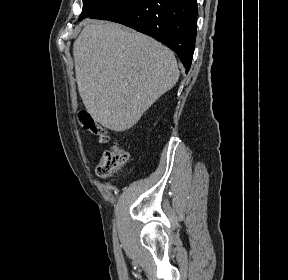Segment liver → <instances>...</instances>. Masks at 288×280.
Listing matches in <instances>:
<instances>
[{
	"mask_svg": "<svg viewBox=\"0 0 288 280\" xmlns=\"http://www.w3.org/2000/svg\"><path fill=\"white\" fill-rule=\"evenodd\" d=\"M78 91L105 128L133 127L179 79L174 53L155 39L111 22H92L73 45Z\"/></svg>",
	"mask_w": 288,
	"mask_h": 280,
	"instance_id": "obj_1",
	"label": "liver"
}]
</instances>
